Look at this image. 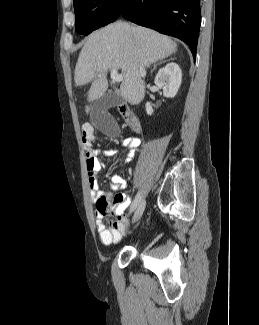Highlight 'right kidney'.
<instances>
[{"mask_svg":"<svg viewBox=\"0 0 259 325\" xmlns=\"http://www.w3.org/2000/svg\"><path fill=\"white\" fill-rule=\"evenodd\" d=\"M182 82V71L177 63L170 62L161 68L156 77L155 84L163 89V96L174 98ZM146 112L148 115L153 114L152 104L146 103Z\"/></svg>","mask_w":259,"mask_h":325,"instance_id":"obj_1","label":"right kidney"}]
</instances>
